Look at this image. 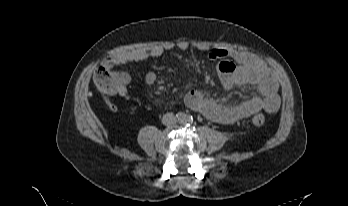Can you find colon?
Masks as SVG:
<instances>
[{
  "mask_svg": "<svg viewBox=\"0 0 348 206\" xmlns=\"http://www.w3.org/2000/svg\"><path fill=\"white\" fill-rule=\"evenodd\" d=\"M126 75L123 72L115 70L114 64L111 61L100 66L94 74V84L97 91L105 96L115 95L118 93L124 82ZM111 110H116L115 105L109 104ZM266 118L263 114L257 113L252 117V123L256 127H261L265 124Z\"/></svg>",
  "mask_w": 348,
  "mask_h": 206,
  "instance_id": "5ec220e1",
  "label": "colon"
}]
</instances>
